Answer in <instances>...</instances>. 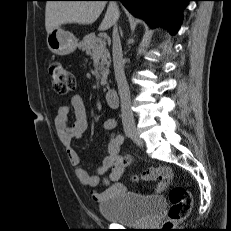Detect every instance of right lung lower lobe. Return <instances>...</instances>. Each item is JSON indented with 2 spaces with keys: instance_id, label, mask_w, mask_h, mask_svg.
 Wrapping results in <instances>:
<instances>
[{
  "instance_id": "obj_1",
  "label": "right lung lower lobe",
  "mask_w": 231,
  "mask_h": 231,
  "mask_svg": "<svg viewBox=\"0 0 231 231\" xmlns=\"http://www.w3.org/2000/svg\"><path fill=\"white\" fill-rule=\"evenodd\" d=\"M109 1V0H105ZM151 27L162 26L173 35L181 23L182 9L190 0H115Z\"/></svg>"
}]
</instances>
